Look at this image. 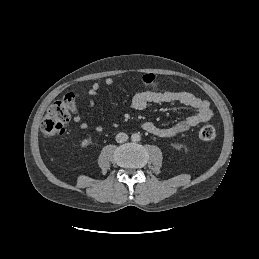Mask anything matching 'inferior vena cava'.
Masks as SVG:
<instances>
[{"label":"inferior vena cava","mask_w":259,"mask_h":259,"mask_svg":"<svg viewBox=\"0 0 259 259\" xmlns=\"http://www.w3.org/2000/svg\"><path fill=\"white\" fill-rule=\"evenodd\" d=\"M127 140H128V135H127L126 133L121 132V133H118V134L116 135V141H117V143H124V142H126Z\"/></svg>","instance_id":"602c4592"}]
</instances>
